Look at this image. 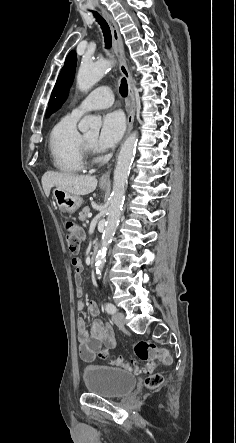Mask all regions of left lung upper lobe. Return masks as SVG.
<instances>
[{"mask_svg":"<svg viewBox=\"0 0 236 443\" xmlns=\"http://www.w3.org/2000/svg\"><path fill=\"white\" fill-rule=\"evenodd\" d=\"M76 63L77 56L76 52L73 50L68 54L65 60V64L53 88L49 101V107L46 112V117L58 110L67 98L70 86L74 79Z\"/></svg>","mask_w":236,"mask_h":443,"instance_id":"obj_1","label":"left lung upper lobe"}]
</instances>
